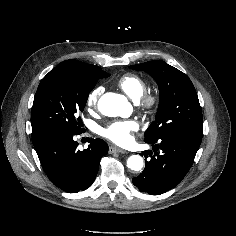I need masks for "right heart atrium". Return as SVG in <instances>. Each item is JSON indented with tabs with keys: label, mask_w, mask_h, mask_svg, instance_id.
Segmentation results:
<instances>
[{
	"label": "right heart atrium",
	"mask_w": 236,
	"mask_h": 236,
	"mask_svg": "<svg viewBox=\"0 0 236 236\" xmlns=\"http://www.w3.org/2000/svg\"><path fill=\"white\" fill-rule=\"evenodd\" d=\"M102 92H103L102 87H96L88 94L86 103H87V107L90 110H95L97 108L98 101Z\"/></svg>",
	"instance_id": "right-heart-atrium-1"
}]
</instances>
